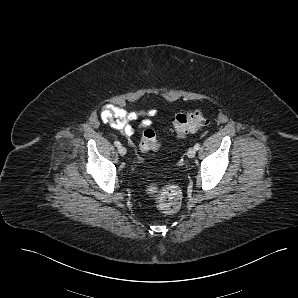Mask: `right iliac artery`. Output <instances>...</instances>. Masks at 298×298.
Segmentation results:
<instances>
[{
    "label": "right iliac artery",
    "instance_id": "1",
    "mask_svg": "<svg viewBox=\"0 0 298 298\" xmlns=\"http://www.w3.org/2000/svg\"><path fill=\"white\" fill-rule=\"evenodd\" d=\"M114 145H115L116 147H120V146H121V143H120L119 141H115V142H114Z\"/></svg>",
    "mask_w": 298,
    "mask_h": 298
}]
</instances>
